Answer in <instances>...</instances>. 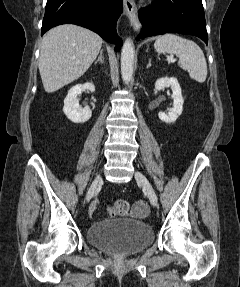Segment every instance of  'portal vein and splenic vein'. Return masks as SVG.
<instances>
[{
  "label": "portal vein and splenic vein",
  "instance_id": "18ae733b",
  "mask_svg": "<svg viewBox=\"0 0 240 287\" xmlns=\"http://www.w3.org/2000/svg\"><path fill=\"white\" fill-rule=\"evenodd\" d=\"M170 60H171V61H175V59H173V58H170Z\"/></svg>",
  "mask_w": 240,
  "mask_h": 287
}]
</instances>
